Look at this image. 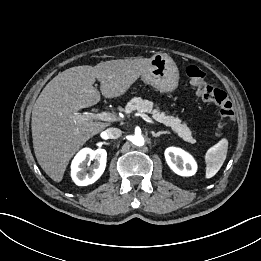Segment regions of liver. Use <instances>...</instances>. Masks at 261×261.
<instances>
[{
  "label": "liver",
  "instance_id": "6515ba94",
  "mask_svg": "<svg viewBox=\"0 0 261 261\" xmlns=\"http://www.w3.org/2000/svg\"><path fill=\"white\" fill-rule=\"evenodd\" d=\"M151 58L117 59L96 66H76L54 77L42 90L32 110V138L36 159L55 182L63 179L73 155L109 123L74 122L72 116L100 101L96 79L105 98H116L148 69Z\"/></svg>",
  "mask_w": 261,
  "mask_h": 261
}]
</instances>
